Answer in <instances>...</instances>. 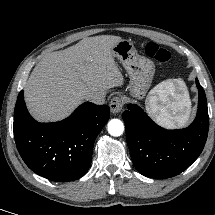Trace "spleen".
<instances>
[{
  "mask_svg": "<svg viewBox=\"0 0 215 215\" xmlns=\"http://www.w3.org/2000/svg\"><path fill=\"white\" fill-rule=\"evenodd\" d=\"M187 88L181 79H168L158 84L146 100V108L155 120L166 126H184L190 113Z\"/></svg>",
  "mask_w": 215,
  "mask_h": 215,
  "instance_id": "obj_1",
  "label": "spleen"
}]
</instances>
